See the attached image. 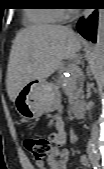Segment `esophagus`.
<instances>
[{
  "label": "esophagus",
  "mask_w": 104,
  "mask_h": 169,
  "mask_svg": "<svg viewBox=\"0 0 104 169\" xmlns=\"http://www.w3.org/2000/svg\"><path fill=\"white\" fill-rule=\"evenodd\" d=\"M91 13H92V10L87 9V10L84 11L83 16H84L85 18H87Z\"/></svg>",
  "instance_id": "1"
}]
</instances>
